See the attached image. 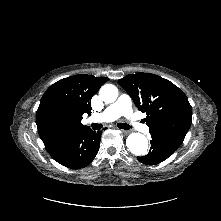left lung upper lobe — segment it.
Segmentation results:
<instances>
[{
    "mask_svg": "<svg viewBox=\"0 0 221 221\" xmlns=\"http://www.w3.org/2000/svg\"><path fill=\"white\" fill-rule=\"evenodd\" d=\"M119 84L137 108L146 113L150 134L182 144L192 121V107L182 90L169 80L150 73L127 75Z\"/></svg>",
    "mask_w": 221,
    "mask_h": 221,
    "instance_id": "5c2ea615",
    "label": "left lung upper lobe"
}]
</instances>
